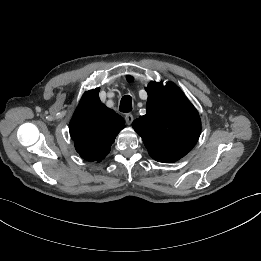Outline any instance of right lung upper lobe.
<instances>
[{
    "label": "right lung upper lobe",
    "mask_w": 261,
    "mask_h": 261,
    "mask_svg": "<svg viewBox=\"0 0 261 261\" xmlns=\"http://www.w3.org/2000/svg\"><path fill=\"white\" fill-rule=\"evenodd\" d=\"M95 89L84 94L70 122V135L80 156L101 161L110 151L124 119L102 104Z\"/></svg>",
    "instance_id": "1"
}]
</instances>
